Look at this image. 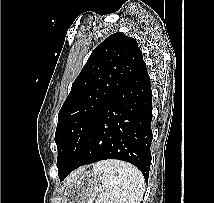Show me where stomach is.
Returning <instances> with one entry per match:
<instances>
[{
	"instance_id": "1",
	"label": "stomach",
	"mask_w": 214,
	"mask_h": 203,
	"mask_svg": "<svg viewBox=\"0 0 214 203\" xmlns=\"http://www.w3.org/2000/svg\"><path fill=\"white\" fill-rule=\"evenodd\" d=\"M100 189L101 181L98 175L84 171L66 185L61 203H93Z\"/></svg>"
}]
</instances>
